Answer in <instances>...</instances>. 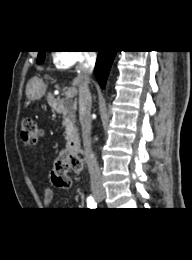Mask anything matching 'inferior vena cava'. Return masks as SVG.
Masks as SVG:
<instances>
[{"mask_svg": "<svg viewBox=\"0 0 192 260\" xmlns=\"http://www.w3.org/2000/svg\"><path fill=\"white\" fill-rule=\"evenodd\" d=\"M96 53L88 51L85 53L83 61L77 66L79 80V116L82 127V137L84 142H88L91 135V106L92 97L88 88L90 75L93 72ZM90 180L92 188H102V179L97 160L94 158L89 166Z\"/></svg>", "mask_w": 192, "mask_h": 260, "instance_id": "inferior-vena-cava-1", "label": "inferior vena cava"}]
</instances>
